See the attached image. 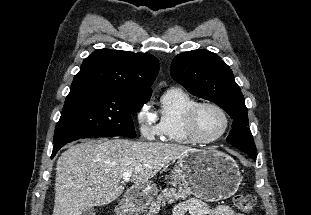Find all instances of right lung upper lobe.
Here are the masks:
<instances>
[{"instance_id": "1", "label": "right lung upper lobe", "mask_w": 311, "mask_h": 215, "mask_svg": "<svg viewBox=\"0 0 311 215\" xmlns=\"http://www.w3.org/2000/svg\"><path fill=\"white\" fill-rule=\"evenodd\" d=\"M158 71L159 62L151 54L100 49L83 61L71 87L91 86L149 97Z\"/></svg>"}]
</instances>
